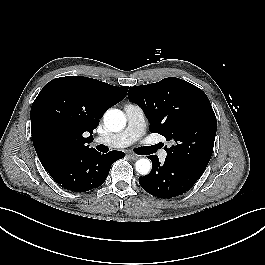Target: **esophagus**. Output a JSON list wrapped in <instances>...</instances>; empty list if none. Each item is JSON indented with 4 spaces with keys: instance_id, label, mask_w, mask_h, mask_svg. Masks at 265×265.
I'll return each instance as SVG.
<instances>
[{
    "instance_id": "obj_1",
    "label": "esophagus",
    "mask_w": 265,
    "mask_h": 265,
    "mask_svg": "<svg viewBox=\"0 0 265 265\" xmlns=\"http://www.w3.org/2000/svg\"><path fill=\"white\" fill-rule=\"evenodd\" d=\"M127 156H128L129 158H131L132 160H136V159H138V158H139V156H138V155H136V154H133V153H128V154H127Z\"/></svg>"
}]
</instances>
